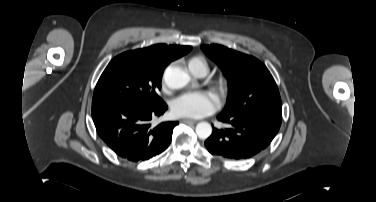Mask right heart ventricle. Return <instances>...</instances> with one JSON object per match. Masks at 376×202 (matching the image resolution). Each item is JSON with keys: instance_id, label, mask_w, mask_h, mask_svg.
I'll return each mask as SVG.
<instances>
[{"instance_id": "1", "label": "right heart ventricle", "mask_w": 376, "mask_h": 202, "mask_svg": "<svg viewBox=\"0 0 376 202\" xmlns=\"http://www.w3.org/2000/svg\"><path fill=\"white\" fill-rule=\"evenodd\" d=\"M189 70L199 76L201 73L208 72V63L202 56H194L188 61Z\"/></svg>"}]
</instances>
